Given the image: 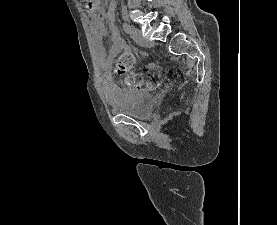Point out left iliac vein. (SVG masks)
Masks as SVG:
<instances>
[{
  "label": "left iliac vein",
  "mask_w": 277,
  "mask_h": 225,
  "mask_svg": "<svg viewBox=\"0 0 277 225\" xmlns=\"http://www.w3.org/2000/svg\"><path fill=\"white\" fill-rule=\"evenodd\" d=\"M131 36L133 38V40L140 46L142 47H150L152 46V43L145 39L143 36H142V33L139 29L137 28H132V31H131Z\"/></svg>",
  "instance_id": "4c4485c4"
}]
</instances>
